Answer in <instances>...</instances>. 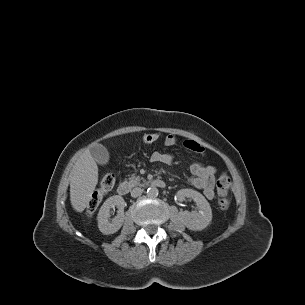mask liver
<instances>
[{
  "mask_svg": "<svg viewBox=\"0 0 305 305\" xmlns=\"http://www.w3.org/2000/svg\"><path fill=\"white\" fill-rule=\"evenodd\" d=\"M98 183V166L90 150L83 149L70 172V200L77 212H82L91 200Z\"/></svg>",
  "mask_w": 305,
  "mask_h": 305,
  "instance_id": "obj_1",
  "label": "liver"
}]
</instances>
